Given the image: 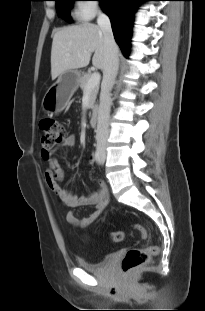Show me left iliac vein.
I'll return each mask as SVG.
<instances>
[{
  "label": "left iliac vein",
  "instance_id": "4c4485c4",
  "mask_svg": "<svg viewBox=\"0 0 205 311\" xmlns=\"http://www.w3.org/2000/svg\"><path fill=\"white\" fill-rule=\"evenodd\" d=\"M100 162L103 163L104 162V152L102 151L100 154Z\"/></svg>",
  "mask_w": 205,
  "mask_h": 311
}]
</instances>
